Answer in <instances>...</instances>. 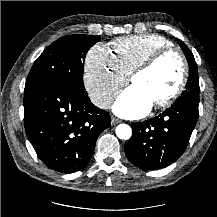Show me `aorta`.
Here are the masks:
<instances>
[{
    "instance_id": "aorta-1",
    "label": "aorta",
    "mask_w": 217,
    "mask_h": 217,
    "mask_svg": "<svg viewBox=\"0 0 217 217\" xmlns=\"http://www.w3.org/2000/svg\"><path fill=\"white\" fill-rule=\"evenodd\" d=\"M115 131L117 137L122 140H128L132 136V129L127 124H119Z\"/></svg>"
}]
</instances>
